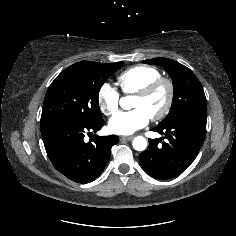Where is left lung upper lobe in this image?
Returning <instances> with one entry per match:
<instances>
[{
    "label": "left lung upper lobe",
    "instance_id": "obj_1",
    "mask_svg": "<svg viewBox=\"0 0 236 236\" xmlns=\"http://www.w3.org/2000/svg\"><path fill=\"white\" fill-rule=\"evenodd\" d=\"M143 63L163 66L173 82L174 96L171 110L158 126L170 124L192 112L206 111L203 87L189 68L167 58L148 59Z\"/></svg>",
    "mask_w": 236,
    "mask_h": 236
}]
</instances>
